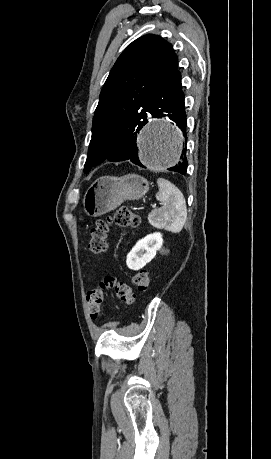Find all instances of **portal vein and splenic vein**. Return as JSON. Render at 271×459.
Segmentation results:
<instances>
[{"label": "portal vein and splenic vein", "mask_w": 271, "mask_h": 459, "mask_svg": "<svg viewBox=\"0 0 271 459\" xmlns=\"http://www.w3.org/2000/svg\"><path fill=\"white\" fill-rule=\"evenodd\" d=\"M152 209H155V205L154 204L152 205Z\"/></svg>", "instance_id": "portal-vein-and-splenic-vein-1"}]
</instances>
